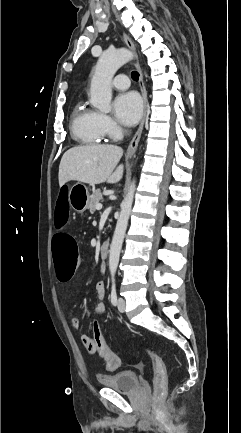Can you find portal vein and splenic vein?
<instances>
[{
	"label": "portal vein and splenic vein",
	"mask_w": 241,
	"mask_h": 433,
	"mask_svg": "<svg viewBox=\"0 0 241 433\" xmlns=\"http://www.w3.org/2000/svg\"><path fill=\"white\" fill-rule=\"evenodd\" d=\"M96 209H97V210H101V209H102V204H100V203L97 204V205H96Z\"/></svg>",
	"instance_id": "portal-vein-and-splenic-vein-1"
}]
</instances>
